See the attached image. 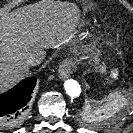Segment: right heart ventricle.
<instances>
[{"label": "right heart ventricle", "instance_id": "right-heart-ventricle-1", "mask_svg": "<svg viewBox=\"0 0 133 133\" xmlns=\"http://www.w3.org/2000/svg\"><path fill=\"white\" fill-rule=\"evenodd\" d=\"M92 25V23L90 21H85L82 24V28L86 29L89 28Z\"/></svg>", "mask_w": 133, "mask_h": 133}]
</instances>
